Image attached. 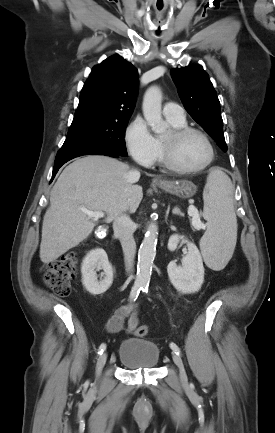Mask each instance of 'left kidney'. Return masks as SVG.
Listing matches in <instances>:
<instances>
[{
	"mask_svg": "<svg viewBox=\"0 0 275 433\" xmlns=\"http://www.w3.org/2000/svg\"><path fill=\"white\" fill-rule=\"evenodd\" d=\"M187 244L188 253L182 259V265L177 266L171 261L167 266V272L172 285L184 294L199 291L204 281V267L201 254L196 245L183 236L172 235L168 242V249L174 251L179 242Z\"/></svg>",
	"mask_w": 275,
	"mask_h": 433,
	"instance_id": "left-kidney-1",
	"label": "left kidney"
}]
</instances>
